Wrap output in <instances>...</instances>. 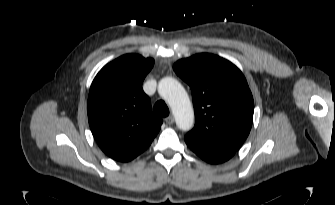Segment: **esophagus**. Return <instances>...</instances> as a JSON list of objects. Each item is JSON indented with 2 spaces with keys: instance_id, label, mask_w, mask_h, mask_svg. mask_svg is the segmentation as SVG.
<instances>
[{
  "instance_id": "obj_1",
  "label": "esophagus",
  "mask_w": 335,
  "mask_h": 205,
  "mask_svg": "<svg viewBox=\"0 0 335 205\" xmlns=\"http://www.w3.org/2000/svg\"><path fill=\"white\" fill-rule=\"evenodd\" d=\"M165 122L168 124V125H171L174 123V118L173 116H168L165 118Z\"/></svg>"
}]
</instances>
